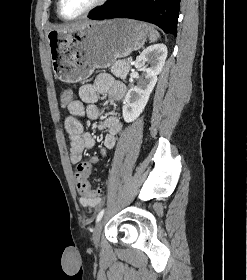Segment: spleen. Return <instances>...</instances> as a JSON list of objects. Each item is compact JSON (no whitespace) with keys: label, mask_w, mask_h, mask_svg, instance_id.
<instances>
[{"label":"spleen","mask_w":247,"mask_h":280,"mask_svg":"<svg viewBox=\"0 0 247 280\" xmlns=\"http://www.w3.org/2000/svg\"><path fill=\"white\" fill-rule=\"evenodd\" d=\"M148 29H149V40L151 42L157 41V39L160 37L158 31L153 26H149Z\"/></svg>","instance_id":"1"}]
</instances>
